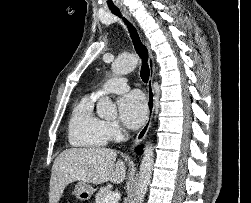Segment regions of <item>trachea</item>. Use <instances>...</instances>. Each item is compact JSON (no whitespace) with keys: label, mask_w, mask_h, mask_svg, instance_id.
Listing matches in <instances>:
<instances>
[{"label":"trachea","mask_w":251,"mask_h":203,"mask_svg":"<svg viewBox=\"0 0 251 203\" xmlns=\"http://www.w3.org/2000/svg\"><path fill=\"white\" fill-rule=\"evenodd\" d=\"M112 13L121 18V14H120L119 10L113 9ZM124 22L127 25V28L129 30L133 45L135 47V50L142 60V66H141V71H140L141 79L144 83H147L149 80V76H150V70H149V66L147 64V59H148L147 48L142 43V41L139 37V34H138L137 30L135 29V27L125 19H124Z\"/></svg>","instance_id":"obj_1"}]
</instances>
